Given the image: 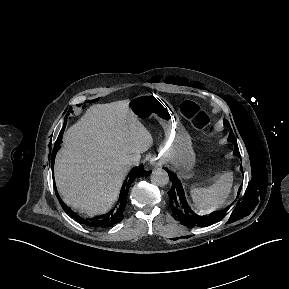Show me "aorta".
Wrapping results in <instances>:
<instances>
[{
	"mask_svg": "<svg viewBox=\"0 0 289 289\" xmlns=\"http://www.w3.org/2000/svg\"><path fill=\"white\" fill-rule=\"evenodd\" d=\"M150 179L151 183L158 187L166 186L169 183L168 173L162 168L153 170L150 175Z\"/></svg>",
	"mask_w": 289,
	"mask_h": 289,
	"instance_id": "762f6f07",
	"label": "aorta"
}]
</instances>
